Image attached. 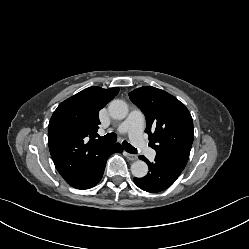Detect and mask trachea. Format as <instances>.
I'll return each mask as SVG.
<instances>
[{"mask_svg": "<svg viewBox=\"0 0 249 249\" xmlns=\"http://www.w3.org/2000/svg\"><path fill=\"white\" fill-rule=\"evenodd\" d=\"M101 139L109 142V143H115L117 140V136L115 133H108L107 135L100 137ZM123 148L126 152L131 153V154H136L137 153V149H135L131 144H129L126 141H123L122 143Z\"/></svg>", "mask_w": 249, "mask_h": 249, "instance_id": "3493384b", "label": "trachea"}]
</instances>
